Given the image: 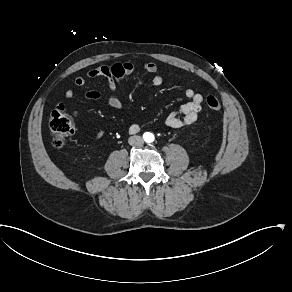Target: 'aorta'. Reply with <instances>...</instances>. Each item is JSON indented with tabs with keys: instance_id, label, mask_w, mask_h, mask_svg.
<instances>
[{
	"instance_id": "obj_1",
	"label": "aorta",
	"mask_w": 292,
	"mask_h": 292,
	"mask_svg": "<svg viewBox=\"0 0 292 292\" xmlns=\"http://www.w3.org/2000/svg\"><path fill=\"white\" fill-rule=\"evenodd\" d=\"M144 138H145L146 142H153L154 141V135L151 133H146L144 135Z\"/></svg>"
}]
</instances>
